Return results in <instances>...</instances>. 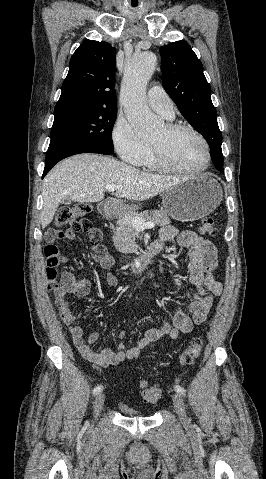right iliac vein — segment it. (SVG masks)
I'll return each instance as SVG.
<instances>
[{
  "instance_id": "right-iliac-vein-1",
  "label": "right iliac vein",
  "mask_w": 266,
  "mask_h": 479,
  "mask_svg": "<svg viewBox=\"0 0 266 479\" xmlns=\"http://www.w3.org/2000/svg\"><path fill=\"white\" fill-rule=\"evenodd\" d=\"M104 401H105V395L103 393H99L96 396L95 402H94V412L96 417L99 414L100 410L102 409Z\"/></svg>"
}]
</instances>
